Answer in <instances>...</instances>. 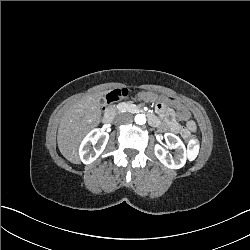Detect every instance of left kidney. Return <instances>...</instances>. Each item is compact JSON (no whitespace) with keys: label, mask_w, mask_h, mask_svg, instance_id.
Segmentation results:
<instances>
[{"label":"left kidney","mask_w":250,"mask_h":250,"mask_svg":"<svg viewBox=\"0 0 250 250\" xmlns=\"http://www.w3.org/2000/svg\"><path fill=\"white\" fill-rule=\"evenodd\" d=\"M164 138L170 147L177 152V157H173L172 154L168 156V152L163 147L156 145L155 155L157 158L168 168L180 169L185 166L187 152L182 140L177 135L169 132L164 134Z\"/></svg>","instance_id":"5707ae66"}]
</instances>
